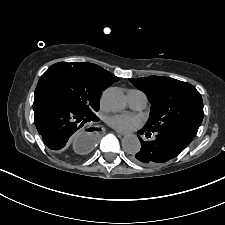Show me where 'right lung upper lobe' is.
<instances>
[{
	"mask_svg": "<svg viewBox=\"0 0 225 225\" xmlns=\"http://www.w3.org/2000/svg\"><path fill=\"white\" fill-rule=\"evenodd\" d=\"M78 66H80L93 82L105 90L109 85L119 80L118 77L114 76L110 72L106 71L105 69L97 66L96 64L86 63V62H74Z\"/></svg>",
	"mask_w": 225,
	"mask_h": 225,
	"instance_id": "obj_1",
	"label": "right lung upper lobe"
}]
</instances>
